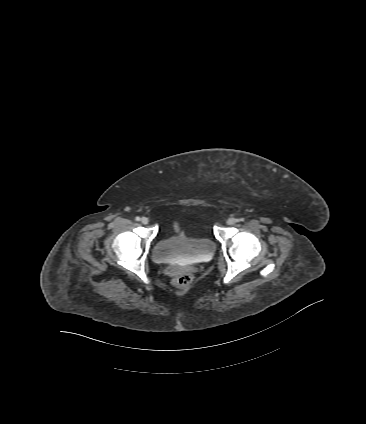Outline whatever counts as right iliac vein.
I'll return each instance as SVG.
<instances>
[{
    "label": "right iliac vein",
    "instance_id": "right-iliac-vein-1",
    "mask_svg": "<svg viewBox=\"0 0 366 424\" xmlns=\"http://www.w3.org/2000/svg\"><path fill=\"white\" fill-rule=\"evenodd\" d=\"M141 222H142L143 224H148V223H149V219H148L147 217H142V218H141Z\"/></svg>",
    "mask_w": 366,
    "mask_h": 424
}]
</instances>
